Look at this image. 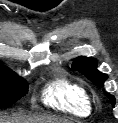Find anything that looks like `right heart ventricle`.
<instances>
[{
    "label": "right heart ventricle",
    "instance_id": "obj_1",
    "mask_svg": "<svg viewBox=\"0 0 118 123\" xmlns=\"http://www.w3.org/2000/svg\"><path fill=\"white\" fill-rule=\"evenodd\" d=\"M43 102L58 111L85 118L92 114V99L80 82L65 75L52 79L43 92Z\"/></svg>",
    "mask_w": 118,
    "mask_h": 123
}]
</instances>
